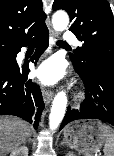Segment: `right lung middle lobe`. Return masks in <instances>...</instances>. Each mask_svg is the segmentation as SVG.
Returning a JSON list of instances; mask_svg holds the SVG:
<instances>
[{
    "label": "right lung middle lobe",
    "instance_id": "1",
    "mask_svg": "<svg viewBox=\"0 0 114 156\" xmlns=\"http://www.w3.org/2000/svg\"><path fill=\"white\" fill-rule=\"evenodd\" d=\"M17 66L16 55L8 46H0V72L9 71Z\"/></svg>",
    "mask_w": 114,
    "mask_h": 156
}]
</instances>
